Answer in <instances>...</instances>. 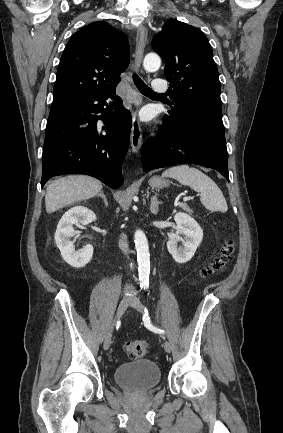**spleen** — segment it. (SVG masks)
I'll list each match as a JSON object with an SVG mask.
<instances>
[{"mask_svg": "<svg viewBox=\"0 0 283 433\" xmlns=\"http://www.w3.org/2000/svg\"><path fill=\"white\" fill-rule=\"evenodd\" d=\"M162 176L176 178L181 184H187V186H191V188L200 192V200L207 210L226 212L228 206L222 190L212 178H209L207 174H204L198 168H193L188 164H179V166H171V168L164 170Z\"/></svg>", "mask_w": 283, "mask_h": 433, "instance_id": "3e777b00", "label": "spleen"}]
</instances>
